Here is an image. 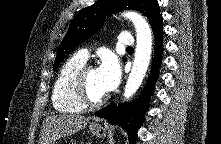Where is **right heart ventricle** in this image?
Masks as SVG:
<instances>
[{
  "instance_id": "obj_1",
  "label": "right heart ventricle",
  "mask_w": 221,
  "mask_h": 144,
  "mask_svg": "<svg viewBox=\"0 0 221 144\" xmlns=\"http://www.w3.org/2000/svg\"><path fill=\"white\" fill-rule=\"evenodd\" d=\"M86 60L78 54L70 57L61 66L52 90V104L60 113H78L86 107L76 98L74 80Z\"/></svg>"
}]
</instances>
